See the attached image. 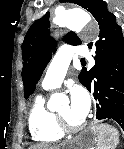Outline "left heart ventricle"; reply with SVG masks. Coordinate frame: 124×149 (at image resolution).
I'll use <instances>...</instances> for the list:
<instances>
[{
	"label": "left heart ventricle",
	"instance_id": "1",
	"mask_svg": "<svg viewBox=\"0 0 124 149\" xmlns=\"http://www.w3.org/2000/svg\"><path fill=\"white\" fill-rule=\"evenodd\" d=\"M57 112L60 113L69 123H71L73 125L79 124L83 121V119H80L78 117H74L71 114L69 102L62 104L58 108Z\"/></svg>",
	"mask_w": 124,
	"mask_h": 149
}]
</instances>
